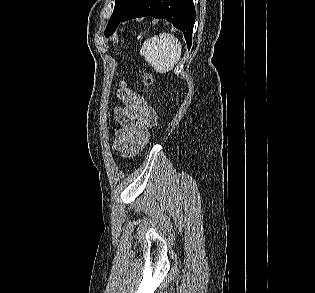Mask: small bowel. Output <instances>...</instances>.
Masks as SVG:
<instances>
[{
	"label": "small bowel",
	"mask_w": 315,
	"mask_h": 293,
	"mask_svg": "<svg viewBox=\"0 0 315 293\" xmlns=\"http://www.w3.org/2000/svg\"><path fill=\"white\" fill-rule=\"evenodd\" d=\"M118 96L125 106L114 111L120 127L115 132L113 148L127 157L138 151L148 129L156 122V113L143 97L133 91Z\"/></svg>",
	"instance_id": "small-bowel-1"
}]
</instances>
